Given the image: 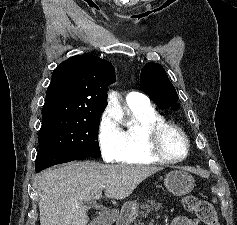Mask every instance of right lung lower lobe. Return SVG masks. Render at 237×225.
I'll return each mask as SVG.
<instances>
[{"mask_svg":"<svg viewBox=\"0 0 237 225\" xmlns=\"http://www.w3.org/2000/svg\"><path fill=\"white\" fill-rule=\"evenodd\" d=\"M87 156L63 150L39 149L36 157L35 170L40 172L50 166L70 162L73 160H82Z\"/></svg>","mask_w":237,"mask_h":225,"instance_id":"98d812e1","label":"right lung lower lobe"}]
</instances>
